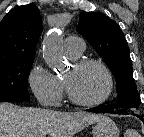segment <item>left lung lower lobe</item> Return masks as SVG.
Returning a JSON list of instances; mask_svg holds the SVG:
<instances>
[{"mask_svg": "<svg viewBox=\"0 0 144 137\" xmlns=\"http://www.w3.org/2000/svg\"><path fill=\"white\" fill-rule=\"evenodd\" d=\"M88 111L96 112V113H105V112H107V113H116V114H128L125 111H113V108H111L110 106H103V105H100L97 108L88 109ZM135 116L140 118L144 123V119L141 116H139V115H135Z\"/></svg>", "mask_w": 144, "mask_h": 137, "instance_id": "obj_1", "label": "left lung lower lobe"}]
</instances>
